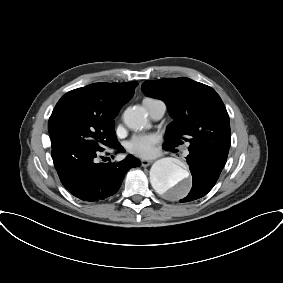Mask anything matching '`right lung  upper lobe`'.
Listing matches in <instances>:
<instances>
[{
  "mask_svg": "<svg viewBox=\"0 0 283 283\" xmlns=\"http://www.w3.org/2000/svg\"><path fill=\"white\" fill-rule=\"evenodd\" d=\"M138 85L136 81L126 83H94L72 90L65 97H73L90 111L95 113L104 122H114L122 106L134 94Z\"/></svg>",
  "mask_w": 283,
  "mask_h": 283,
  "instance_id": "1",
  "label": "right lung upper lobe"
}]
</instances>
